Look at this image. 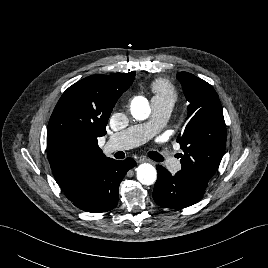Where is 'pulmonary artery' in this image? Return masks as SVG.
<instances>
[{
	"label": "pulmonary artery",
	"instance_id": "e3ab8cb5",
	"mask_svg": "<svg viewBox=\"0 0 268 268\" xmlns=\"http://www.w3.org/2000/svg\"><path fill=\"white\" fill-rule=\"evenodd\" d=\"M151 107L153 111L151 121L131 126L125 131L111 135L106 148L110 151L128 150L152 137L167 122L172 107L157 99L151 100ZM162 153L168 157L166 160L167 164H175L176 160L170 157L167 148H165Z\"/></svg>",
	"mask_w": 268,
	"mask_h": 268
}]
</instances>
